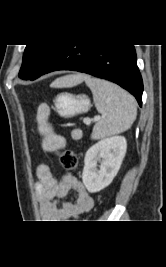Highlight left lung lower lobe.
I'll return each mask as SVG.
<instances>
[{"label": "left lung lower lobe", "instance_id": "0a47b994", "mask_svg": "<svg viewBox=\"0 0 166 267\" xmlns=\"http://www.w3.org/2000/svg\"><path fill=\"white\" fill-rule=\"evenodd\" d=\"M58 70L84 72L112 81L142 105L143 82L133 45H62L41 75Z\"/></svg>", "mask_w": 166, "mask_h": 267}]
</instances>
